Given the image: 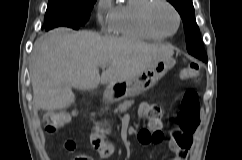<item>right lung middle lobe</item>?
I'll return each mask as SVG.
<instances>
[{"label": "right lung middle lobe", "mask_w": 242, "mask_h": 160, "mask_svg": "<svg viewBox=\"0 0 242 160\" xmlns=\"http://www.w3.org/2000/svg\"><path fill=\"white\" fill-rule=\"evenodd\" d=\"M96 0H49L44 19V30L58 26L79 29L88 21Z\"/></svg>", "instance_id": "dd1d6c3e"}]
</instances>
